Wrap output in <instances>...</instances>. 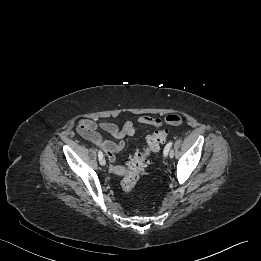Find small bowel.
<instances>
[{
  "mask_svg": "<svg viewBox=\"0 0 261 261\" xmlns=\"http://www.w3.org/2000/svg\"><path fill=\"white\" fill-rule=\"evenodd\" d=\"M172 117L178 118L180 122L173 124L171 122ZM181 122L182 117L178 114L168 115L164 119L142 115L135 120H127L122 127L108 121L96 122L91 119H81L77 124V131L81 136L92 142L94 145L102 148L107 154L111 164H114L116 161V154L126 146L124 138L133 136L140 125L161 127L164 124L178 125ZM99 128L113 136L116 141L103 139L98 132Z\"/></svg>",
  "mask_w": 261,
  "mask_h": 261,
  "instance_id": "small-bowel-1",
  "label": "small bowel"
}]
</instances>
